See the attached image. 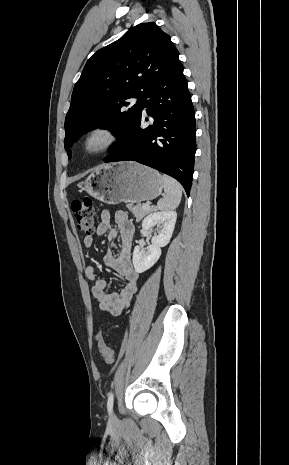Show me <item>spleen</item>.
Listing matches in <instances>:
<instances>
[{"label":"spleen","instance_id":"spleen-1","mask_svg":"<svg viewBox=\"0 0 289 465\" xmlns=\"http://www.w3.org/2000/svg\"><path fill=\"white\" fill-rule=\"evenodd\" d=\"M164 183V196L157 203L159 210L170 211L176 209L181 201L182 197V186L178 181L169 177L168 175H162Z\"/></svg>","mask_w":289,"mask_h":465}]
</instances>
